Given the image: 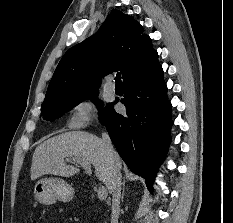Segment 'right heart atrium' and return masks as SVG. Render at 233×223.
I'll list each match as a JSON object with an SVG mask.
<instances>
[{
  "label": "right heart atrium",
  "instance_id": "d8ad5b80",
  "mask_svg": "<svg viewBox=\"0 0 233 223\" xmlns=\"http://www.w3.org/2000/svg\"><path fill=\"white\" fill-rule=\"evenodd\" d=\"M98 111V102L91 96L86 95L75 104L68 125L71 128H82L90 125L95 119Z\"/></svg>",
  "mask_w": 233,
  "mask_h": 223
}]
</instances>
